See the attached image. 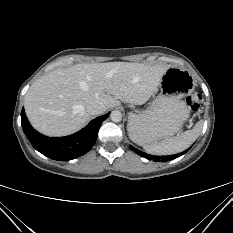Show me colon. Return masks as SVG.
<instances>
[{
  "instance_id": "obj_1",
  "label": "colon",
  "mask_w": 233,
  "mask_h": 233,
  "mask_svg": "<svg viewBox=\"0 0 233 233\" xmlns=\"http://www.w3.org/2000/svg\"><path fill=\"white\" fill-rule=\"evenodd\" d=\"M201 101H202V98L199 93H194L191 96H189L187 99V103H188L190 110H192L193 112H196L200 107Z\"/></svg>"
}]
</instances>
